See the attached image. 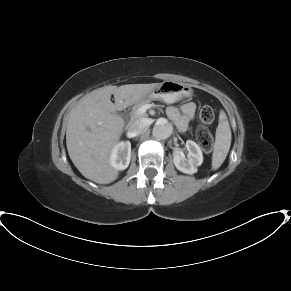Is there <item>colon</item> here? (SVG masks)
<instances>
[{
    "label": "colon",
    "mask_w": 291,
    "mask_h": 291,
    "mask_svg": "<svg viewBox=\"0 0 291 291\" xmlns=\"http://www.w3.org/2000/svg\"><path fill=\"white\" fill-rule=\"evenodd\" d=\"M214 119H215V114L211 107L204 106L200 109L199 120L201 123L211 124L214 121ZM195 138H196L197 143L206 152L211 151L213 147V138L210 131L207 128L203 126L198 127L195 132Z\"/></svg>",
    "instance_id": "5ec220e1"
}]
</instances>
